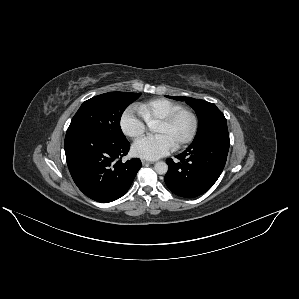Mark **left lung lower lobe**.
<instances>
[{"label": "left lung lower lobe", "mask_w": 299, "mask_h": 299, "mask_svg": "<svg viewBox=\"0 0 299 299\" xmlns=\"http://www.w3.org/2000/svg\"><path fill=\"white\" fill-rule=\"evenodd\" d=\"M230 146L228 131L216 132L192 143L177 155L179 162L167 159V187L176 195L194 198L208 191L219 178Z\"/></svg>", "instance_id": "left-lung-lower-lobe-1"}]
</instances>
